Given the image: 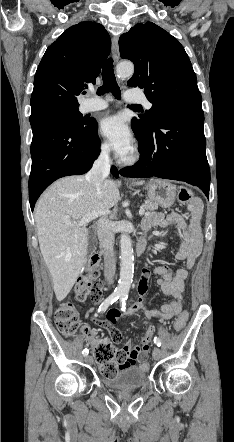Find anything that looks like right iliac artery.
<instances>
[{"mask_svg":"<svg viewBox=\"0 0 234 442\" xmlns=\"http://www.w3.org/2000/svg\"><path fill=\"white\" fill-rule=\"evenodd\" d=\"M121 296V294L119 292H114L112 293L100 306H99V312H105L106 309L113 304L115 301H117L119 299V297ZM83 355L87 356L89 351L88 349H84L83 350Z\"/></svg>","mask_w":234,"mask_h":442,"instance_id":"right-iliac-artery-1","label":"right iliac artery"}]
</instances>
